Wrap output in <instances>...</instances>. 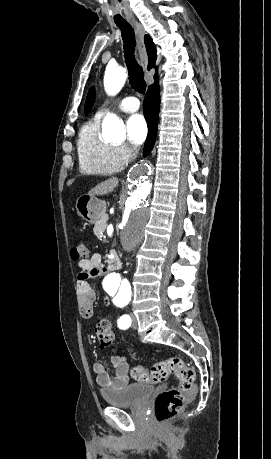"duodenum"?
<instances>
[{
    "instance_id": "obj_1",
    "label": "duodenum",
    "mask_w": 271,
    "mask_h": 459,
    "mask_svg": "<svg viewBox=\"0 0 271 459\" xmlns=\"http://www.w3.org/2000/svg\"><path fill=\"white\" fill-rule=\"evenodd\" d=\"M120 268H121L120 260L117 257L113 256L109 260V269L112 271H116V270H119Z\"/></svg>"
}]
</instances>
